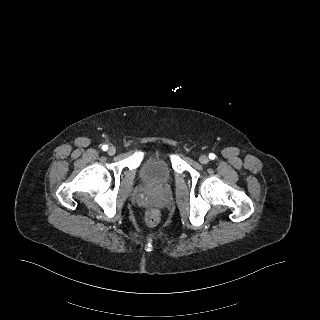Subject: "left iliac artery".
Segmentation results:
<instances>
[{
    "instance_id": "1",
    "label": "left iliac artery",
    "mask_w": 320,
    "mask_h": 320,
    "mask_svg": "<svg viewBox=\"0 0 320 320\" xmlns=\"http://www.w3.org/2000/svg\"><path fill=\"white\" fill-rule=\"evenodd\" d=\"M215 157H216V156H215V154H214V153H210V154H209V158H210L211 160H214V159H215Z\"/></svg>"
}]
</instances>
